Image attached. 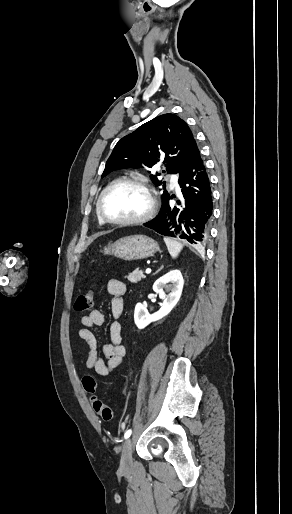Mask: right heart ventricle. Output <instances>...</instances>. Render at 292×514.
<instances>
[{"label": "right heart ventricle", "instance_id": "right-heart-ventricle-1", "mask_svg": "<svg viewBox=\"0 0 292 514\" xmlns=\"http://www.w3.org/2000/svg\"><path fill=\"white\" fill-rule=\"evenodd\" d=\"M97 216H98V214H97ZM98 221H99L100 224L104 223L99 217H98Z\"/></svg>", "mask_w": 292, "mask_h": 514}]
</instances>
